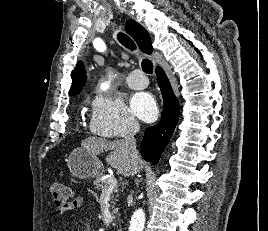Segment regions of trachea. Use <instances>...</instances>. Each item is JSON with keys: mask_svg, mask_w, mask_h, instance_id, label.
I'll list each match as a JSON object with an SVG mask.
<instances>
[{"mask_svg": "<svg viewBox=\"0 0 268 231\" xmlns=\"http://www.w3.org/2000/svg\"><path fill=\"white\" fill-rule=\"evenodd\" d=\"M118 40L122 45H124L126 48L130 50H135L136 49V44L134 41L126 34L124 33H119L118 34ZM142 70L147 73V74H152L153 73V64L150 60L148 59H143L142 61Z\"/></svg>", "mask_w": 268, "mask_h": 231, "instance_id": "1", "label": "trachea"}]
</instances>
